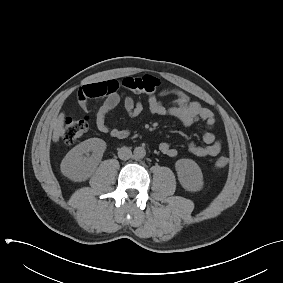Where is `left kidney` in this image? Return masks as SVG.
<instances>
[{"instance_id": "5707ae66", "label": "left kidney", "mask_w": 283, "mask_h": 283, "mask_svg": "<svg viewBox=\"0 0 283 283\" xmlns=\"http://www.w3.org/2000/svg\"><path fill=\"white\" fill-rule=\"evenodd\" d=\"M178 180L187 191L196 192L203 188V175L198 164L191 159L176 161Z\"/></svg>"}]
</instances>
